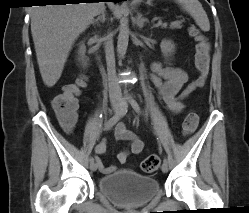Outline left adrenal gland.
<instances>
[{"mask_svg":"<svg viewBox=\"0 0 249 213\" xmlns=\"http://www.w3.org/2000/svg\"><path fill=\"white\" fill-rule=\"evenodd\" d=\"M145 22L147 23V22H148V19L142 17V14H141V13H138V14H137V18H136V25H137L139 28H142Z\"/></svg>","mask_w":249,"mask_h":213,"instance_id":"1","label":"left adrenal gland"}]
</instances>
